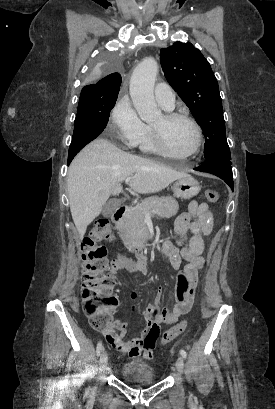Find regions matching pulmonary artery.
<instances>
[{"mask_svg": "<svg viewBox=\"0 0 275 409\" xmlns=\"http://www.w3.org/2000/svg\"><path fill=\"white\" fill-rule=\"evenodd\" d=\"M170 90L169 85H158L155 90L158 105L167 111L173 110L175 105V95Z\"/></svg>", "mask_w": 275, "mask_h": 409, "instance_id": "1", "label": "pulmonary artery"}]
</instances>
